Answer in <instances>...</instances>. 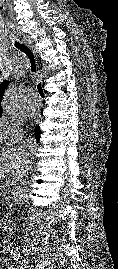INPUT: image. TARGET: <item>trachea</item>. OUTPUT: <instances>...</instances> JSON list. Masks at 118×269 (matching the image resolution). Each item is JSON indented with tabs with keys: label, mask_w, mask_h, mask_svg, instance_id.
<instances>
[{
	"label": "trachea",
	"mask_w": 118,
	"mask_h": 269,
	"mask_svg": "<svg viewBox=\"0 0 118 269\" xmlns=\"http://www.w3.org/2000/svg\"><path fill=\"white\" fill-rule=\"evenodd\" d=\"M15 47L27 55V57L30 60L31 71L33 73H35L37 70V67H36V60H35V57H34L32 50L27 45H25L23 43H19V42H15ZM37 89H38V92L40 95H44V89H43L41 83H39L37 85Z\"/></svg>",
	"instance_id": "3493384b"
}]
</instances>
